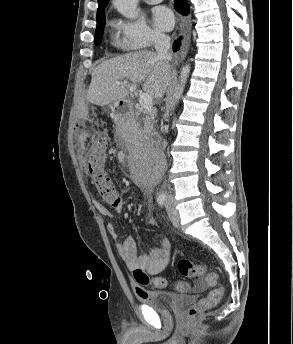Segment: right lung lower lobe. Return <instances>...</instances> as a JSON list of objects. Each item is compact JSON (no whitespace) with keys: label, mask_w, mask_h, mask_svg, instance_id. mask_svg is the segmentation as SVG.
Wrapping results in <instances>:
<instances>
[{"label":"right lung lower lobe","mask_w":293,"mask_h":344,"mask_svg":"<svg viewBox=\"0 0 293 344\" xmlns=\"http://www.w3.org/2000/svg\"><path fill=\"white\" fill-rule=\"evenodd\" d=\"M175 8L178 12L182 13L183 15H186L189 12V7L186 0H175ZM179 44L180 40L174 42V51L179 49Z\"/></svg>","instance_id":"obj_1"}]
</instances>
